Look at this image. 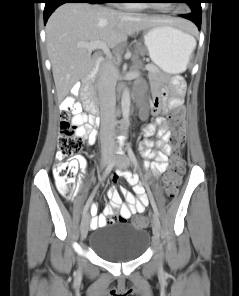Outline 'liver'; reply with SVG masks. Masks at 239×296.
I'll list each match as a JSON object with an SVG mask.
<instances>
[{
  "label": "liver",
  "instance_id": "6515ba94",
  "mask_svg": "<svg viewBox=\"0 0 239 296\" xmlns=\"http://www.w3.org/2000/svg\"><path fill=\"white\" fill-rule=\"evenodd\" d=\"M185 23L180 19L122 12L99 4L61 5L46 25L47 52L58 99L63 100L71 88L93 70L91 51L78 43L103 41L114 48L136 32Z\"/></svg>",
  "mask_w": 239,
  "mask_h": 296
}]
</instances>
